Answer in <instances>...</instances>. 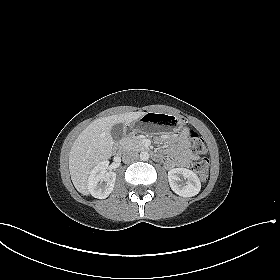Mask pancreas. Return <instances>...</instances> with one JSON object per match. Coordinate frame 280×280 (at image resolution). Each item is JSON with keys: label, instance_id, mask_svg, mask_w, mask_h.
Returning a JSON list of instances; mask_svg holds the SVG:
<instances>
[{"label": "pancreas", "instance_id": "1", "mask_svg": "<svg viewBox=\"0 0 280 280\" xmlns=\"http://www.w3.org/2000/svg\"><path fill=\"white\" fill-rule=\"evenodd\" d=\"M124 147L127 150L141 151L145 147L140 136H131L125 139Z\"/></svg>", "mask_w": 280, "mask_h": 280}]
</instances>
